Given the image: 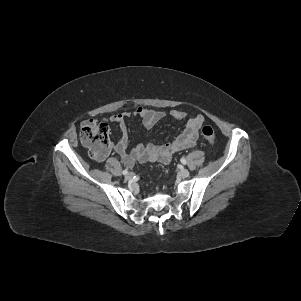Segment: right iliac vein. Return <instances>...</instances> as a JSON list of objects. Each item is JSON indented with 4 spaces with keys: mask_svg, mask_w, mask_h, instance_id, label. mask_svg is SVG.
I'll use <instances>...</instances> for the list:
<instances>
[{
    "mask_svg": "<svg viewBox=\"0 0 301 301\" xmlns=\"http://www.w3.org/2000/svg\"><path fill=\"white\" fill-rule=\"evenodd\" d=\"M133 178V173H127L126 175H125V179L126 180H131Z\"/></svg>",
    "mask_w": 301,
    "mask_h": 301,
    "instance_id": "obj_1",
    "label": "right iliac vein"
}]
</instances>
